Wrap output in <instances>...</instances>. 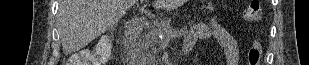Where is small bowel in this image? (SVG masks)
I'll list each match as a JSON object with an SVG mask.
<instances>
[{"label": "small bowel", "instance_id": "obj_1", "mask_svg": "<svg viewBox=\"0 0 309 65\" xmlns=\"http://www.w3.org/2000/svg\"><path fill=\"white\" fill-rule=\"evenodd\" d=\"M213 38L223 49L220 65H237L239 52L236 39L215 19L191 27L186 35L184 51L190 52L199 40Z\"/></svg>", "mask_w": 309, "mask_h": 65}]
</instances>
